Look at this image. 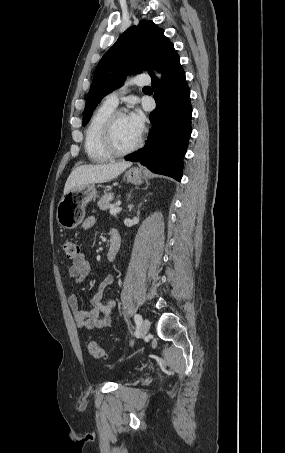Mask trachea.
<instances>
[{"label": "trachea", "instance_id": "obj_1", "mask_svg": "<svg viewBox=\"0 0 285 453\" xmlns=\"http://www.w3.org/2000/svg\"><path fill=\"white\" fill-rule=\"evenodd\" d=\"M144 88H149V86H146V87H144Z\"/></svg>", "mask_w": 285, "mask_h": 453}]
</instances>
